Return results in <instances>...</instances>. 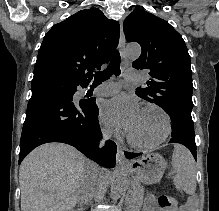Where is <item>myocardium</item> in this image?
Returning a JSON list of instances; mask_svg holds the SVG:
<instances>
[{"mask_svg": "<svg viewBox=\"0 0 219 211\" xmlns=\"http://www.w3.org/2000/svg\"><path fill=\"white\" fill-rule=\"evenodd\" d=\"M146 109H155L158 112H160L161 115L163 116L164 122H165V128H164V132H163L162 136L159 139H157L156 141L149 142V143L139 142V141L135 140L129 132L127 133L126 138H127V141L134 147L150 149V148L157 147L158 145L165 142L171 134L172 127H171L170 116L163 107H161L158 104L147 103L141 108V111L146 110Z\"/></svg>", "mask_w": 219, "mask_h": 211, "instance_id": "myocardium-1", "label": "myocardium"}]
</instances>
